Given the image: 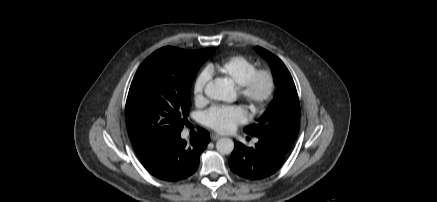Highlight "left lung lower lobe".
Returning <instances> with one entry per match:
<instances>
[{"label":"left lung lower lobe","mask_w":437,"mask_h":202,"mask_svg":"<svg viewBox=\"0 0 437 202\" xmlns=\"http://www.w3.org/2000/svg\"><path fill=\"white\" fill-rule=\"evenodd\" d=\"M285 156L279 147L261 138L254 147L235 142L229 166L240 177L261 180L274 174L282 166Z\"/></svg>","instance_id":"1"}]
</instances>
